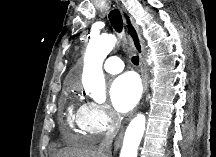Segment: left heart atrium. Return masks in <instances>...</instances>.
Segmentation results:
<instances>
[{"instance_id":"left-heart-atrium-1","label":"left heart atrium","mask_w":216,"mask_h":157,"mask_svg":"<svg viewBox=\"0 0 216 157\" xmlns=\"http://www.w3.org/2000/svg\"><path fill=\"white\" fill-rule=\"evenodd\" d=\"M110 100L116 111L127 113L137 104L141 95L138 78L132 73H126L113 80L109 90Z\"/></svg>"}]
</instances>
